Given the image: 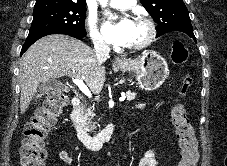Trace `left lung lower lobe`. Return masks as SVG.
Instances as JSON below:
<instances>
[{
  "instance_id": "left-lung-lower-lobe-1",
  "label": "left lung lower lobe",
  "mask_w": 227,
  "mask_h": 166,
  "mask_svg": "<svg viewBox=\"0 0 227 166\" xmlns=\"http://www.w3.org/2000/svg\"><path fill=\"white\" fill-rule=\"evenodd\" d=\"M187 35L190 36L191 38H193L196 41V38H195L193 33H188Z\"/></svg>"
}]
</instances>
